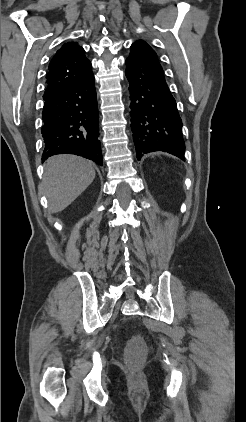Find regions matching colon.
Returning <instances> with one entry per match:
<instances>
[{"label":"colon","instance_id":"colon-1","mask_svg":"<svg viewBox=\"0 0 246 422\" xmlns=\"http://www.w3.org/2000/svg\"><path fill=\"white\" fill-rule=\"evenodd\" d=\"M145 343L140 337H133L127 344L126 358L131 365H138L145 356Z\"/></svg>","mask_w":246,"mask_h":422}]
</instances>
